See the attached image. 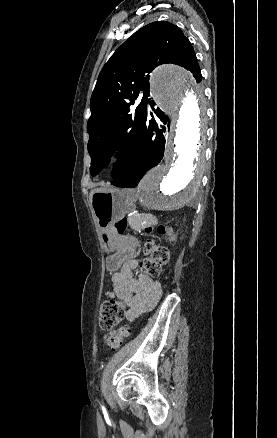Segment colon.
<instances>
[{
	"mask_svg": "<svg viewBox=\"0 0 277 438\" xmlns=\"http://www.w3.org/2000/svg\"><path fill=\"white\" fill-rule=\"evenodd\" d=\"M128 225L127 219L119 220L114 229L117 233L122 234ZM156 222L153 219L145 221V232L151 233L154 229L158 233H167L168 228L164 225H159L155 228ZM145 251L149 253L150 257L145 258L140 263V269L143 273L148 274L152 278H157L160 275L161 266L169 261V251L166 247L157 245L154 239L148 240L145 244ZM124 314V305L116 300H107L102 304L99 313L98 322L103 330H110L115 328ZM132 327L125 324L119 328L117 333L108 337V344L111 348L118 349L121 347L123 340L130 336Z\"/></svg>",
	"mask_w": 277,
	"mask_h": 438,
	"instance_id": "5ec220e1",
	"label": "colon"
}]
</instances>
